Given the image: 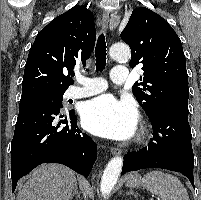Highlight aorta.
<instances>
[{
	"label": "aorta",
	"instance_id": "762f6f07",
	"mask_svg": "<svg viewBox=\"0 0 201 200\" xmlns=\"http://www.w3.org/2000/svg\"><path fill=\"white\" fill-rule=\"evenodd\" d=\"M110 56L117 61H128L131 56L130 48L124 43H117L111 46ZM123 165V158L120 156L113 157L107 164L102 179L101 193L105 196L109 194L115 186L120 176Z\"/></svg>",
	"mask_w": 201,
	"mask_h": 200
}]
</instances>
